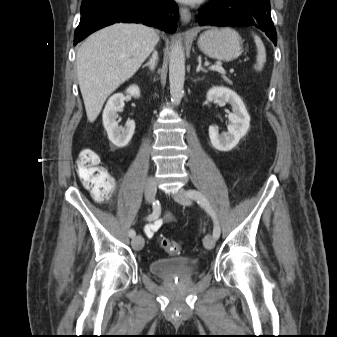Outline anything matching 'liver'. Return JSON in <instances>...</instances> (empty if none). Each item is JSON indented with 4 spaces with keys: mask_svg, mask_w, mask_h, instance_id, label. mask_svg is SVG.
<instances>
[{
    "mask_svg": "<svg viewBox=\"0 0 337 337\" xmlns=\"http://www.w3.org/2000/svg\"><path fill=\"white\" fill-rule=\"evenodd\" d=\"M157 42L154 29L124 23L101 29L84 41L76 66L90 122L96 120L107 97L137 72Z\"/></svg>",
    "mask_w": 337,
    "mask_h": 337,
    "instance_id": "obj_1",
    "label": "liver"
}]
</instances>
